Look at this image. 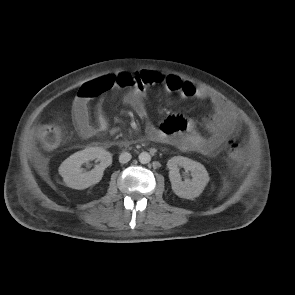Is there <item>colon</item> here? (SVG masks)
<instances>
[{"label": "colon", "instance_id": "1", "mask_svg": "<svg viewBox=\"0 0 295 295\" xmlns=\"http://www.w3.org/2000/svg\"><path fill=\"white\" fill-rule=\"evenodd\" d=\"M105 85L108 89L113 87L131 88L136 84H139L137 78L130 73H122L114 76H110L105 79ZM39 137L47 149H55L59 146L62 139L61 129L53 124H47L40 128ZM227 154L228 159L233 164L241 163L247 156V151L244 146L235 139H230L227 142Z\"/></svg>", "mask_w": 295, "mask_h": 295}]
</instances>
